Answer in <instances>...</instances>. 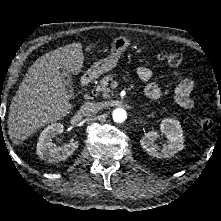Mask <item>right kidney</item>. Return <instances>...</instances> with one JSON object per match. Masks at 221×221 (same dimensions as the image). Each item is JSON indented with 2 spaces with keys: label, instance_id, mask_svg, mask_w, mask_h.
<instances>
[{
  "label": "right kidney",
  "instance_id": "right-kidney-1",
  "mask_svg": "<svg viewBox=\"0 0 221 221\" xmlns=\"http://www.w3.org/2000/svg\"><path fill=\"white\" fill-rule=\"evenodd\" d=\"M62 132L63 125L61 123L51 124L41 132L36 149V154L41 159L48 162H60L66 160L78 148V141L56 146L53 143V138Z\"/></svg>",
  "mask_w": 221,
  "mask_h": 221
}]
</instances>
